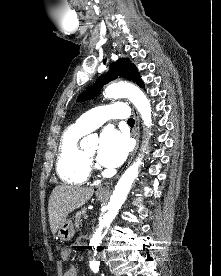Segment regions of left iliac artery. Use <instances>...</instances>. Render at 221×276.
Instances as JSON below:
<instances>
[{"label":"left iliac artery","mask_w":221,"mask_h":276,"mask_svg":"<svg viewBox=\"0 0 221 276\" xmlns=\"http://www.w3.org/2000/svg\"><path fill=\"white\" fill-rule=\"evenodd\" d=\"M93 270H94V272H97L98 269H93Z\"/></svg>","instance_id":"44dca946"}]
</instances>
